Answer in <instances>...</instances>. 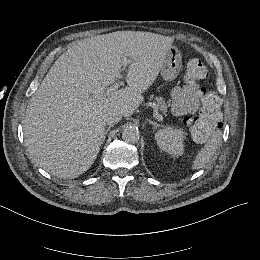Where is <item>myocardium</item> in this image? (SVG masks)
<instances>
[{
  "label": "myocardium",
  "instance_id": "1",
  "mask_svg": "<svg viewBox=\"0 0 260 260\" xmlns=\"http://www.w3.org/2000/svg\"><path fill=\"white\" fill-rule=\"evenodd\" d=\"M99 54V55H116V53L114 51H109V50H97V51H92V52H88V55L89 54ZM101 96V92H100V89L98 88L97 91H96V97H99Z\"/></svg>",
  "mask_w": 260,
  "mask_h": 260
}]
</instances>
